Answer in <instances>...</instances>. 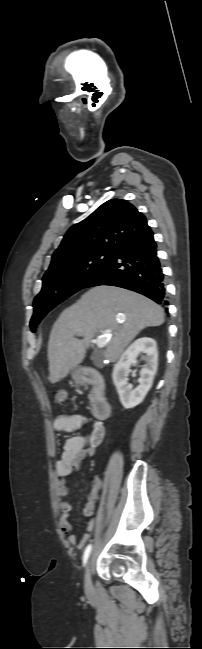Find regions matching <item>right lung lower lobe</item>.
I'll return each mask as SVG.
<instances>
[{"mask_svg": "<svg viewBox=\"0 0 202 649\" xmlns=\"http://www.w3.org/2000/svg\"><path fill=\"white\" fill-rule=\"evenodd\" d=\"M156 247L151 229L127 241L83 288L118 286L143 294L158 304H167Z\"/></svg>", "mask_w": 202, "mask_h": 649, "instance_id": "98d812e1", "label": "right lung lower lobe"}]
</instances>
